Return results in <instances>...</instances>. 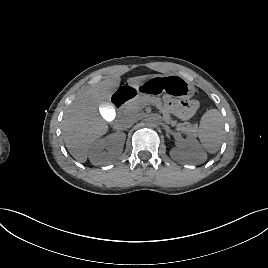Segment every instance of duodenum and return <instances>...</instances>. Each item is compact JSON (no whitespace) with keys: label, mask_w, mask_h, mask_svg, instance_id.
Returning <instances> with one entry per match:
<instances>
[{"label":"duodenum","mask_w":268,"mask_h":268,"mask_svg":"<svg viewBox=\"0 0 268 268\" xmlns=\"http://www.w3.org/2000/svg\"><path fill=\"white\" fill-rule=\"evenodd\" d=\"M135 96V92L131 88H123L118 90L113 96V104L120 109L131 98Z\"/></svg>","instance_id":"1"}]
</instances>
